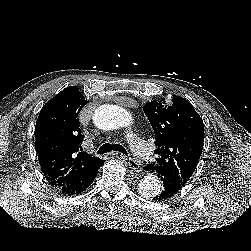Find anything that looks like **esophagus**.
<instances>
[{
    "mask_svg": "<svg viewBox=\"0 0 251 251\" xmlns=\"http://www.w3.org/2000/svg\"><path fill=\"white\" fill-rule=\"evenodd\" d=\"M116 155L120 156V157H124V155L121 154V153H119V152H117ZM127 161H128L129 166L134 171H136V172H140L141 171V166H140L141 164H140V161L138 159L129 157V158H127Z\"/></svg>",
    "mask_w": 251,
    "mask_h": 251,
    "instance_id": "1",
    "label": "esophagus"
}]
</instances>
